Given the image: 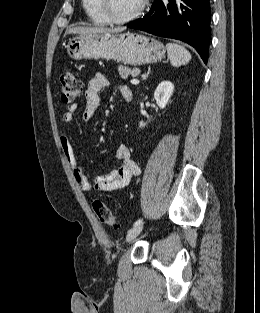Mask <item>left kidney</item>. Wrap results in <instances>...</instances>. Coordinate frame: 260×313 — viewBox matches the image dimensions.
Here are the masks:
<instances>
[{
	"instance_id": "left-kidney-1",
	"label": "left kidney",
	"mask_w": 260,
	"mask_h": 313,
	"mask_svg": "<svg viewBox=\"0 0 260 313\" xmlns=\"http://www.w3.org/2000/svg\"><path fill=\"white\" fill-rule=\"evenodd\" d=\"M174 91V85L170 81H162L154 92V98L157 105L164 109L168 104ZM145 123L140 121V128L144 127Z\"/></svg>"
}]
</instances>
